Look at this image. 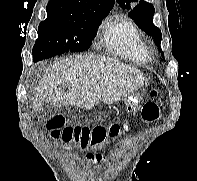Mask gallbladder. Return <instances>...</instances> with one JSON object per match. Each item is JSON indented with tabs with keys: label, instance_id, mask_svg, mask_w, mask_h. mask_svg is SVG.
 <instances>
[{
	"label": "gallbladder",
	"instance_id": "bac80fb5",
	"mask_svg": "<svg viewBox=\"0 0 197 181\" xmlns=\"http://www.w3.org/2000/svg\"><path fill=\"white\" fill-rule=\"evenodd\" d=\"M52 108L48 103H44V111Z\"/></svg>",
	"mask_w": 197,
	"mask_h": 181
}]
</instances>
